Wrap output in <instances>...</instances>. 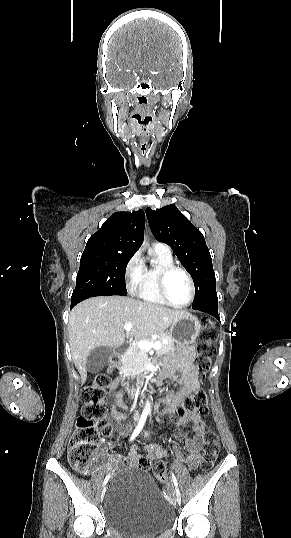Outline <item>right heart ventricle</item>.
Listing matches in <instances>:
<instances>
[{"label": "right heart ventricle", "instance_id": "right-heart-ventricle-1", "mask_svg": "<svg viewBox=\"0 0 291 538\" xmlns=\"http://www.w3.org/2000/svg\"><path fill=\"white\" fill-rule=\"evenodd\" d=\"M153 256L156 259V264L150 267L144 266L142 279L136 294L145 302L167 305L159 294L157 278L159 271L163 267L174 264L173 257L172 254H167L156 249L153 250Z\"/></svg>", "mask_w": 291, "mask_h": 538}]
</instances>
